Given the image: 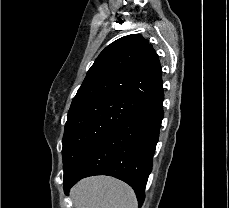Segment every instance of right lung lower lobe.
Returning <instances> with one entry per match:
<instances>
[{"instance_id": "1", "label": "right lung lower lobe", "mask_w": 229, "mask_h": 208, "mask_svg": "<svg viewBox=\"0 0 229 208\" xmlns=\"http://www.w3.org/2000/svg\"><path fill=\"white\" fill-rule=\"evenodd\" d=\"M163 100L162 93L93 143L64 175L65 193L68 194L69 189L84 177L109 175L126 182L134 189L141 208L164 116Z\"/></svg>"}]
</instances>
